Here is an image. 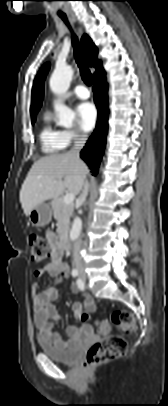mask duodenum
Listing matches in <instances>:
<instances>
[{"mask_svg":"<svg viewBox=\"0 0 168 406\" xmlns=\"http://www.w3.org/2000/svg\"><path fill=\"white\" fill-rule=\"evenodd\" d=\"M60 247L62 251H67L69 249V238L67 234H63L60 237Z\"/></svg>","mask_w":168,"mask_h":406,"instance_id":"duodenum-1","label":"duodenum"}]
</instances>
